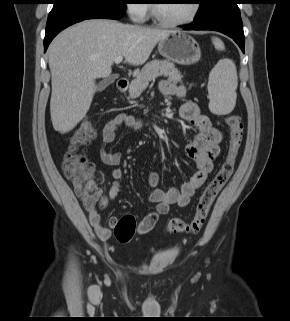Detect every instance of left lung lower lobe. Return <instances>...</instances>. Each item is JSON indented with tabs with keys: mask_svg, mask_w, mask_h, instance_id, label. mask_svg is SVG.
I'll use <instances>...</instances> for the list:
<instances>
[{
	"mask_svg": "<svg viewBox=\"0 0 290 321\" xmlns=\"http://www.w3.org/2000/svg\"><path fill=\"white\" fill-rule=\"evenodd\" d=\"M240 0H226L221 6L209 14L195 18L192 24L181 26L186 30H213L231 37L245 52V37L240 10Z\"/></svg>",
	"mask_w": 290,
	"mask_h": 321,
	"instance_id": "left-lung-lower-lobe-1",
	"label": "left lung lower lobe"
}]
</instances>
